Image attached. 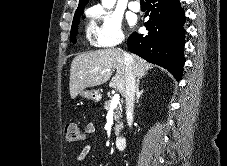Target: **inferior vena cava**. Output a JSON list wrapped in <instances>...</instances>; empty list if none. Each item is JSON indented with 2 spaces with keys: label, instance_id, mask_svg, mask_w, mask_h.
<instances>
[{
  "label": "inferior vena cava",
  "instance_id": "obj_1",
  "mask_svg": "<svg viewBox=\"0 0 227 166\" xmlns=\"http://www.w3.org/2000/svg\"><path fill=\"white\" fill-rule=\"evenodd\" d=\"M124 39H120V43ZM124 63H125V79H126V87H125V105H126V115H127V123L128 126L132 125V117L134 110V101H135V89H136V79L132 70V66L130 64V56L124 55Z\"/></svg>",
  "mask_w": 227,
  "mask_h": 166
}]
</instances>
